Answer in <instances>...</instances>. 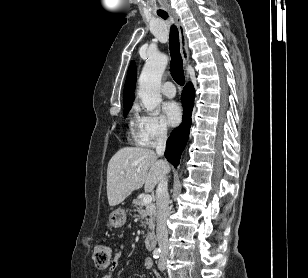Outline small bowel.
<instances>
[{
	"label": "small bowel",
	"instance_id": "obj_1",
	"mask_svg": "<svg viewBox=\"0 0 308 278\" xmlns=\"http://www.w3.org/2000/svg\"><path fill=\"white\" fill-rule=\"evenodd\" d=\"M122 254H123V246H119V247H116L114 249V252H113L114 259H113V263H112L113 267L117 266L118 260L121 258ZM143 264L147 269L152 268V260L149 259V258L145 259ZM155 277L160 278L159 275L156 272H155ZM102 278H111V275L106 274Z\"/></svg>",
	"mask_w": 308,
	"mask_h": 278
}]
</instances>
